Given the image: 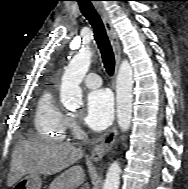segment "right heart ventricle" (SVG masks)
<instances>
[{"label": "right heart ventricle", "mask_w": 188, "mask_h": 189, "mask_svg": "<svg viewBox=\"0 0 188 189\" xmlns=\"http://www.w3.org/2000/svg\"><path fill=\"white\" fill-rule=\"evenodd\" d=\"M34 126L37 133L53 141H63L68 129V117L55 102L53 91L44 90L37 102Z\"/></svg>", "instance_id": "right-heart-ventricle-1"}]
</instances>
